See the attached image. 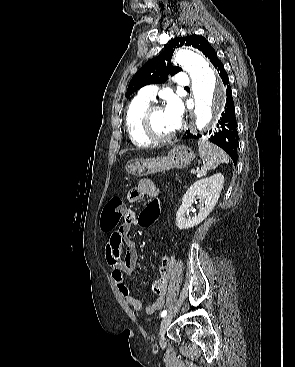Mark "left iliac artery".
I'll use <instances>...</instances> for the list:
<instances>
[{
	"label": "left iliac artery",
	"mask_w": 295,
	"mask_h": 367,
	"mask_svg": "<svg viewBox=\"0 0 295 367\" xmlns=\"http://www.w3.org/2000/svg\"><path fill=\"white\" fill-rule=\"evenodd\" d=\"M166 314H167V310H163V311L161 312V317H165V316H166Z\"/></svg>",
	"instance_id": "1"
}]
</instances>
